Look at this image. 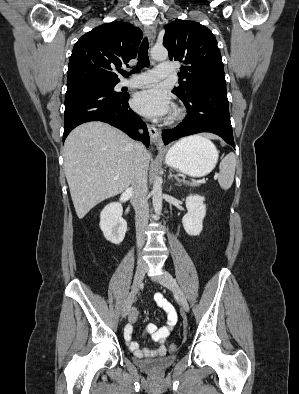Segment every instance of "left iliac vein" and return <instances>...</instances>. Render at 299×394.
<instances>
[{
	"label": "left iliac vein",
	"instance_id": "left-iliac-vein-1",
	"mask_svg": "<svg viewBox=\"0 0 299 394\" xmlns=\"http://www.w3.org/2000/svg\"><path fill=\"white\" fill-rule=\"evenodd\" d=\"M158 281L160 282V284H162L163 286H165L175 294L181 307L184 309V311L188 312L189 311L188 301L183 291L177 284L176 280L167 271H163V274L158 277Z\"/></svg>",
	"mask_w": 299,
	"mask_h": 394
}]
</instances>
